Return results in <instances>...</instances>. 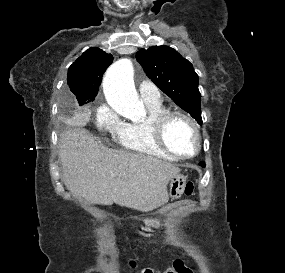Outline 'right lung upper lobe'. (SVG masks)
<instances>
[{"label":"right lung upper lobe","mask_w":285,"mask_h":273,"mask_svg":"<svg viewBox=\"0 0 285 273\" xmlns=\"http://www.w3.org/2000/svg\"><path fill=\"white\" fill-rule=\"evenodd\" d=\"M113 57L97 47L85 51L68 69L67 82L80 105L94 101Z\"/></svg>","instance_id":"right-lung-upper-lobe-1"}]
</instances>
